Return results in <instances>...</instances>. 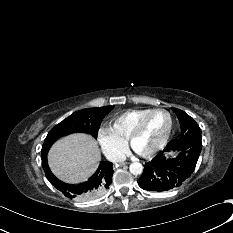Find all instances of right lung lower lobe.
Segmentation results:
<instances>
[{
  "label": "right lung lower lobe",
  "mask_w": 233,
  "mask_h": 233,
  "mask_svg": "<svg viewBox=\"0 0 233 233\" xmlns=\"http://www.w3.org/2000/svg\"><path fill=\"white\" fill-rule=\"evenodd\" d=\"M42 167L49 182L68 198H77L81 200L92 199L100 196L109 188L113 169L111 162H101L97 171L81 184H67L57 179L50 171L47 163V154H42Z\"/></svg>",
  "instance_id": "obj_1"
}]
</instances>
